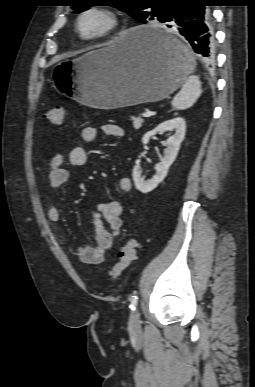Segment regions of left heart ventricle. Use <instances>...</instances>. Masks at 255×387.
Here are the masks:
<instances>
[{
    "label": "left heart ventricle",
    "instance_id": "b2bd125f",
    "mask_svg": "<svg viewBox=\"0 0 255 387\" xmlns=\"http://www.w3.org/2000/svg\"><path fill=\"white\" fill-rule=\"evenodd\" d=\"M102 25V20L94 15L87 16L83 22L82 27L85 33H92Z\"/></svg>",
    "mask_w": 255,
    "mask_h": 387
}]
</instances>
